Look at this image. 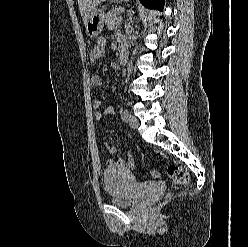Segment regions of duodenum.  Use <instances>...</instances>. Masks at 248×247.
<instances>
[{
    "instance_id": "obj_1",
    "label": "duodenum",
    "mask_w": 248,
    "mask_h": 247,
    "mask_svg": "<svg viewBox=\"0 0 248 247\" xmlns=\"http://www.w3.org/2000/svg\"><path fill=\"white\" fill-rule=\"evenodd\" d=\"M128 60V53L125 50L120 51L119 53V63L121 65L125 64Z\"/></svg>"
}]
</instances>
